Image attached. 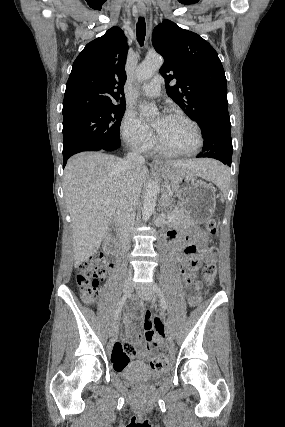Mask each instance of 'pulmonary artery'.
Instances as JSON below:
<instances>
[{"label":"pulmonary artery","instance_id":"e3ab8cb5","mask_svg":"<svg viewBox=\"0 0 285 427\" xmlns=\"http://www.w3.org/2000/svg\"><path fill=\"white\" fill-rule=\"evenodd\" d=\"M162 83L163 78L160 75H155L149 82L143 84L141 92L151 98L158 97L162 92Z\"/></svg>","mask_w":285,"mask_h":427}]
</instances>
